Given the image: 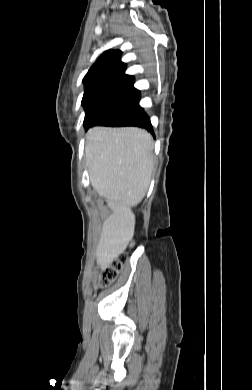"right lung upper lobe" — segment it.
<instances>
[{"label": "right lung upper lobe", "instance_id": "1", "mask_svg": "<svg viewBox=\"0 0 252 390\" xmlns=\"http://www.w3.org/2000/svg\"><path fill=\"white\" fill-rule=\"evenodd\" d=\"M122 52L106 51L89 69L83 79L85 91L82 105L104 100H140L139 90L133 87L134 77L126 75V64L121 62Z\"/></svg>", "mask_w": 252, "mask_h": 390}]
</instances>
